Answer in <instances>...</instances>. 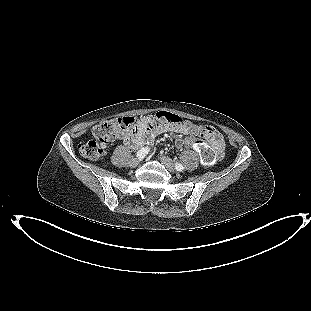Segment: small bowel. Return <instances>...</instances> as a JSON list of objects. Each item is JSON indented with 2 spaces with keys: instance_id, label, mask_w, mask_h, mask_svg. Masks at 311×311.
<instances>
[{
  "instance_id": "c3829d8e",
  "label": "small bowel",
  "mask_w": 311,
  "mask_h": 311,
  "mask_svg": "<svg viewBox=\"0 0 311 311\" xmlns=\"http://www.w3.org/2000/svg\"><path fill=\"white\" fill-rule=\"evenodd\" d=\"M206 130L210 135L211 144L215 149L224 146L221 134L214 127L207 126ZM166 132L184 133L187 130L180 126L159 124L149 117H144L141 119L139 125L125 137L124 142L128 146L138 149L151 144L157 136ZM175 144L178 148H182L192 143L189 140L177 139Z\"/></svg>"
}]
</instances>
